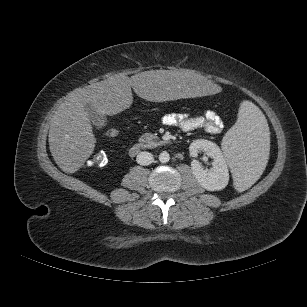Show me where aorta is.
Listing matches in <instances>:
<instances>
[{"label":"aorta","mask_w":307,"mask_h":307,"mask_svg":"<svg viewBox=\"0 0 307 307\" xmlns=\"http://www.w3.org/2000/svg\"><path fill=\"white\" fill-rule=\"evenodd\" d=\"M158 158L161 163H167L170 160V155L167 151H163L159 154Z\"/></svg>","instance_id":"1"}]
</instances>
